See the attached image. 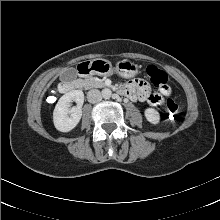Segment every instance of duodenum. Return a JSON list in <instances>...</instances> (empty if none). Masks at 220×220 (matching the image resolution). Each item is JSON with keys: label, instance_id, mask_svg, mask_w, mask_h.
I'll use <instances>...</instances> for the list:
<instances>
[{"label": "duodenum", "instance_id": "obj_1", "mask_svg": "<svg viewBox=\"0 0 220 220\" xmlns=\"http://www.w3.org/2000/svg\"><path fill=\"white\" fill-rule=\"evenodd\" d=\"M90 71V67L88 65H82L78 68V72L81 75L88 74ZM75 88V84L71 81H65L60 85V91L63 93H67L72 91ZM119 93L123 96H126L127 93L124 90H120Z\"/></svg>", "mask_w": 220, "mask_h": 220}]
</instances>
